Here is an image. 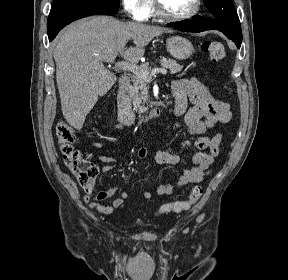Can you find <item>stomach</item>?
<instances>
[{
  "label": "stomach",
  "instance_id": "1",
  "mask_svg": "<svg viewBox=\"0 0 288 280\" xmlns=\"http://www.w3.org/2000/svg\"><path fill=\"white\" fill-rule=\"evenodd\" d=\"M166 48L170 55L178 60L188 59L194 52L192 43L181 36H172L166 40Z\"/></svg>",
  "mask_w": 288,
  "mask_h": 280
}]
</instances>
